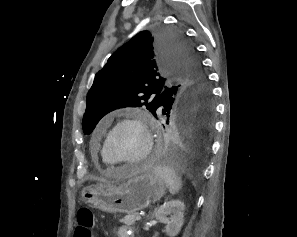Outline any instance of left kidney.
Listing matches in <instances>:
<instances>
[{"mask_svg": "<svg viewBox=\"0 0 297 237\" xmlns=\"http://www.w3.org/2000/svg\"><path fill=\"white\" fill-rule=\"evenodd\" d=\"M184 208V203L180 200H171L157 210L156 219L166 225V233L169 237L179 234L184 222Z\"/></svg>", "mask_w": 297, "mask_h": 237, "instance_id": "left-kidney-1", "label": "left kidney"}]
</instances>
